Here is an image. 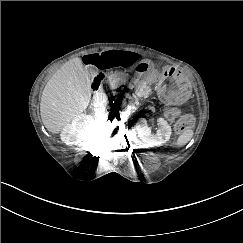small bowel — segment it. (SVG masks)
I'll list each match as a JSON object with an SVG mask.
<instances>
[{
    "mask_svg": "<svg viewBox=\"0 0 243 243\" xmlns=\"http://www.w3.org/2000/svg\"><path fill=\"white\" fill-rule=\"evenodd\" d=\"M140 59L139 55L124 50H107L92 53L83 57V62L90 67L98 68H128Z\"/></svg>",
    "mask_w": 243,
    "mask_h": 243,
    "instance_id": "small-bowel-1",
    "label": "small bowel"
}]
</instances>
